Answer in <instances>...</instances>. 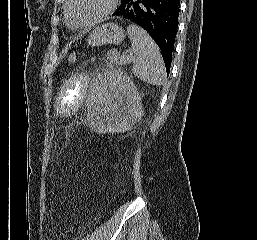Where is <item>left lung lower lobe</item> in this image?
Masks as SVG:
<instances>
[{"instance_id": "0a47b994", "label": "left lung lower lobe", "mask_w": 257, "mask_h": 240, "mask_svg": "<svg viewBox=\"0 0 257 240\" xmlns=\"http://www.w3.org/2000/svg\"><path fill=\"white\" fill-rule=\"evenodd\" d=\"M179 0H121L112 16L128 19L145 29L157 43L170 71L178 27Z\"/></svg>"}]
</instances>
